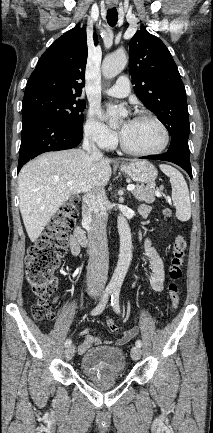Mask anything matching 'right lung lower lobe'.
I'll use <instances>...</instances> for the list:
<instances>
[{"label":"right lung lower lobe","mask_w":213,"mask_h":433,"mask_svg":"<svg viewBox=\"0 0 213 433\" xmlns=\"http://www.w3.org/2000/svg\"><path fill=\"white\" fill-rule=\"evenodd\" d=\"M78 133L56 120L37 112L23 114L18 171L30 159L48 151L76 147L82 140Z\"/></svg>","instance_id":"1"}]
</instances>
